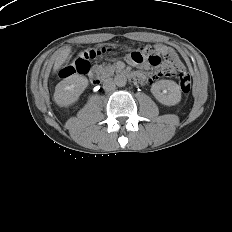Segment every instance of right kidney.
Here are the masks:
<instances>
[{"label": "right kidney", "mask_w": 232, "mask_h": 232, "mask_svg": "<svg viewBox=\"0 0 232 232\" xmlns=\"http://www.w3.org/2000/svg\"><path fill=\"white\" fill-rule=\"evenodd\" d=\"M88 85V80L81 75H71L55 87L54 101L61 107L75 103Z\"/></svg>", "instance_id": "ca27d5eb"}]
</instances>
